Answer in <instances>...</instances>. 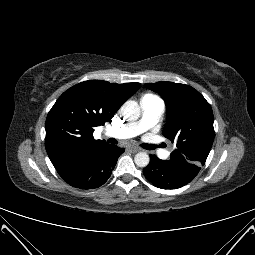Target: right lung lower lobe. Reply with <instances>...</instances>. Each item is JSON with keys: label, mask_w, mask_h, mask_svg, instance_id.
Segmentation results:
<instances>
[{"label": "right lung lower lobe", "mask_w": 255, "mask_h": 255, "mask_svg": "<svg viewBox=\"0 0 255 255\" xmlns=\"http://www.w3.org/2000/svg\"><path fill=\"white\" fill-rule=\"evenodd\" d=\"M124 148L107 144L95 151L79 156L57 168L59 175L69 185L79 189H94L111 176L118 157Z\"/></svg>", "instance_id": "98d812e1"}]
</instances>
